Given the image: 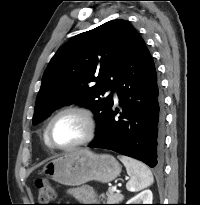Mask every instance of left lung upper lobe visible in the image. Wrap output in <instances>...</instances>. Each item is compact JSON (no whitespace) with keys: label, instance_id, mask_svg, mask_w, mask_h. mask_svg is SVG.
Wrapping results in <instances>:
<instances>
[{"label":"left lung upper lobe","instance_id":"obj_1","mask_svg":"<svg viewBox=\"0 0 200 205\" xmlns=\"http://www.w3.org/2000/svg\"><path fill=\"white\" fill-rule=\"evenodd\" d=\"M136 29L125 20H112L81 33L62 45L46 68L32 122L42 121L58 107L78 103L91 109L102 128L113 106L115 78L129 54Z\"/></svg>","mask_w":200,"mask_h":205}]
</instances>
